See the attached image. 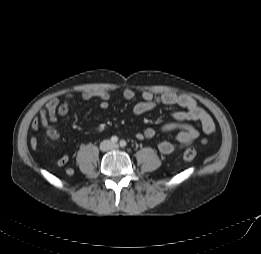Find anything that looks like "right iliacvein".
<instances>
[{"label": "right iliac vein", "mask_w": 261, "mask_h": 254, "mask_svg": "<svg viewBox=\"0 0 261 254\" xmlns=\"http://www.w3.org/2000/svg\"><path fill=\"white\" fill-rule=\"evenodd\" d=\"M110 147H111V143L109 141L102 142V144L100 146L102 151H107L110 149Z\"/></svg>", "instance_id": "obj_1"}]
</instances>
